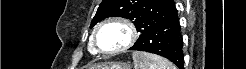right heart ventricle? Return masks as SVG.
I'll use <instances>...</instances> for the list:
<instances>
[{"instance_id":"1","label":"right heart ventricle","mask_w":246,"mask_h":69,"mask_svg":"<svg viewBox=\"0 0 246 69\" xmlns=\"http://www.w3.org/2000/svg\"><path fill=\"white\" fill-rule=\"evenodd\" d=\"M93 47H94V46H93V40H91V41H90V44H89V48H90V49H93Z\"/></svg>"}]
</instances>
